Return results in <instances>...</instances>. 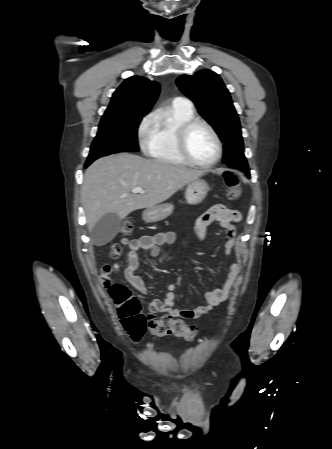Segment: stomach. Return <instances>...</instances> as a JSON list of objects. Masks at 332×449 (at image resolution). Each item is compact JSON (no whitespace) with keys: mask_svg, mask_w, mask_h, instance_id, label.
<instances>
[{"mask_svg":"<svg viewBox=\"0 0 332 449\" xmlns=\"http://www.w3.org/2000/svg\"><path fill=\"white\" fill-rule=\"evenodd\" d=\"M209 191L207 182L203 179H196L188 183L185 191V198L188 204L198 205L202 203ZM174 206L170 203L160 204L146 208L142 213L145 222H158L172 214Z\"/></svg>","mask_w":332,"mask_h":449,"instance_id":"1","label":"stomach"}]
</instances>
